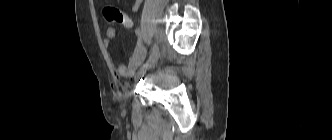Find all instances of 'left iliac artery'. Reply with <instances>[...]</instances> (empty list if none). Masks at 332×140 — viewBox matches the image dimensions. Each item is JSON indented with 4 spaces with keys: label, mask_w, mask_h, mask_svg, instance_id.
Returning <instances> with one entry per match:
<instances>
[{
    "label": "left iliac artery",
    "mask_w": 332,
    "mask_h": 140,
    "mask_svg": "<svg viewBox=\"0 0 332 140\" xmlns=\"http://www.w3.org/2000/svg\"><path fill=\"white\" fill-rule=\"evenodd\" d=\"M158 50H159V48H158L157 43H154V44H153V47H152V49H151V53H150L149 59H148V61L146 62V64H144V66L147 65V63L152 59V57L156 54V52H157Z\"/></svg>",
    "instance_id": "44dca946"
}]
</instances>
